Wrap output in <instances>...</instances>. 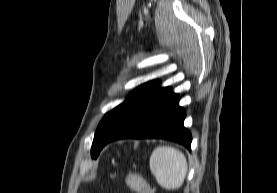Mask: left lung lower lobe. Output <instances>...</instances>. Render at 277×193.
Here are the masks:
<instances>
[{
    "label": "left lung lower lobe",
    "instance_id": "left-lung-lower-lobe-1",
    "mask_svg": "<svg viewBox=\"0 0 277 193\" xmlns=\"http://www.w3.org/2000/svg\"><path fill=\"white\" fill-rule=\"evenodd\" d=\"M171 87L155 88L128 106L111 124L100 141L101 149L123 138H162L190 150L192 136L183 126L185 111Z\"/></svg>",
    "mask_w": 277,
    "mask_h": 193
}]
</instances>
